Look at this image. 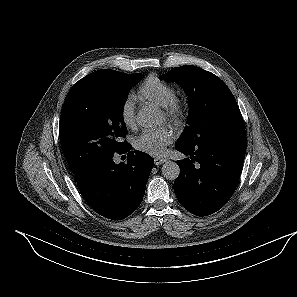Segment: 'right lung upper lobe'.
<instances>
[{
	"mask_svg": "<svg viewBox=\"0 0 297 297\" xmlns=\"http://www.w3.org/2000/svg\"><path fill=\"white\" fill-rule=\"evenodd\" d=\"M115 72H117V71L109 70V69H102V70L95 71V72L87 75L86 77L82 78L81 80H79L76 84H74L72 86V88L77 87L78 85H81L84 83H88V82L105 81L110 76L115 74Z\"/></svg>",
	"mask_w": 297,
	"mask_h": 297,
	"instance_id": "cb5924a9",
	"label": "right lung upper lobe"
}]
</instances>
